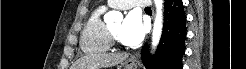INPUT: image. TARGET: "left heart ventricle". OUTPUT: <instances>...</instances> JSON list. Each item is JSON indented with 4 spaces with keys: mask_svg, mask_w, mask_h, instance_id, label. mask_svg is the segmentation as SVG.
<instances>
[{
    "mask_svg": "<svg viewBox=\"0 0 246 69\" xmlns=\"http://www.w3.org/2000/svg\"><path fill=\"white\" fill-rule=\"evenodd\" d=\"M121 23H118L117 25L111 27V31L114 33V35L121 40L120 38V32H121Z\"/></svg>",
    "mask_w": 246,
    "mask_h": 69,
    "instance_id": "left-heart-ventricle-1",
    "label": "left heart ventricle"
}]
</instances>
